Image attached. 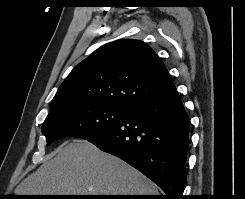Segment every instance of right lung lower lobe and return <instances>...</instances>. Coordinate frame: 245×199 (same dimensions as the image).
Returning <instances> with one entry per match:
<instances>
[{
    "label": "right lung lower lobe",
    "instance_id": "98d812e1",
    "mask_svg": "<svg viewBox=\"0 0 245 199\" xmlns=\"http://www.w3.org/2000/svg\"><path fill=\"white\" fill-rule=\"evenodd\" d=\"M190 120L177 90L129 109L116 124L88 138L156 183L165 199H183Z\"/></svg>",
    "mask_w": 245,
    "mask_h": 199
}]
</instances>
